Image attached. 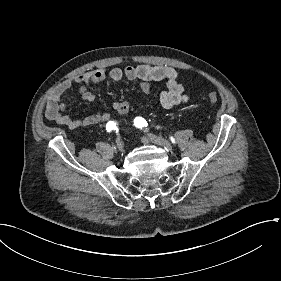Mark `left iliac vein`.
<instances>
[{"label": "left iliac vein", "mask_w": 281, "mask_h": 281, "mask_svg": "<svg viewBox=\"0 0 281 281\" xmlns=\"http://www.w3.org/2000/svg\"><path fill=\"white\" fill-rule=\"evenodd\" d=\"M146 138H148L152 143L157 144V145L163 147L167 151H171L172 150V146L170 145V143L168 141L164 140L161 137H158V136L153 135V134H148L147 137H145L143 139H146Z\"/></svg>", "instance_id": "obj_1"}]
</instances>
